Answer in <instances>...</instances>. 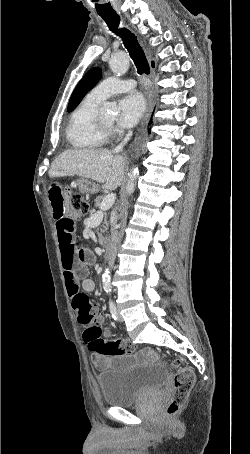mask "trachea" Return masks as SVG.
Instances as JSON below:
<instances>
[{
	"mask_svg": "<svg viewBox=\"0 0 250 454\" xmlns=\"http://www.w3.org/2000/svg\"><path fill=\"white\" fill-rule=\"evenodd\" d=\"M101 17L104 19L109 29L122 38L123 44L125 48L128 50L130 57L132 58L137 68L138 73L140 75L144 73L150 74V66L145 57V53L135 35L126 28L118 29L120 24V17L118 15L115 16L101 15Z\"/></svg>",
	"mask_w": 250,
	"mask_h": 454,
	"instance_id": "trachea-1",
	"label": "trachea"
}]
</instances>
